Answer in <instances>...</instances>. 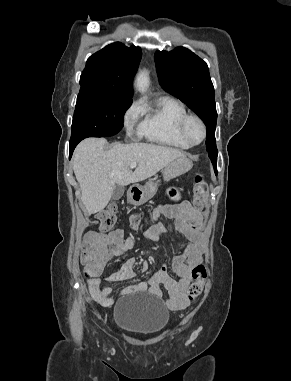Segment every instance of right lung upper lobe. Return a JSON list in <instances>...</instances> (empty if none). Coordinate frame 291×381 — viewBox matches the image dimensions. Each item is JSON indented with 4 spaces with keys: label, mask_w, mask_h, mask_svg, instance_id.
<instances>
[{
    "label": "right lung upper lobe",
    "mask_w": 291,
    "mask_h": 381,
    "mask_svg": "<svg viewBox=\"0 0 291 381\" xmlns=\"http://www.w3.org/2000/svg\"><path fill=\"white\" fill-rule=\"evenodd\" d=\"M139 47L116 42L91 55L80 77V91L106 92L118 97L133 95L132 79L141 60Z\"/></svg>",
    "instance_id": "cb5924a9"
}]
</instances>
